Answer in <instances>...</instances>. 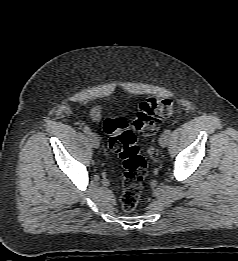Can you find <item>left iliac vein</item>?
Listing matches in <instances>:
<instances>
[{
  "label": "left iliac vein",
  "mask_w": 238,
  "mask_h": 261,
  "mask_svg": "<svg viewBox=\"0 0 238 261\" xmlns=\"http://www.w3.org/2000/svg\"><path fill=\"white\" fill-rule=\"evenodd\" d=\"M168 135L166 133H163L159 138V145L164 148L168 144Z\"/></svg>",
  "instance_id": "left-iliac-vein-1"
}]
</instances>
